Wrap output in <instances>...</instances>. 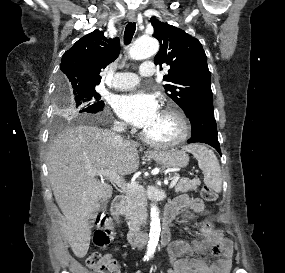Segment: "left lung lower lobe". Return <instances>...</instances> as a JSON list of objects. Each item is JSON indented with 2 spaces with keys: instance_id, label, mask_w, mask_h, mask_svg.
Returning a JSON list of instances; mask_svg holds the SVG:
<instances>
[{
  "instance_id": "1",
  "label": "left lung lower lobe",
  "mask_w": 285,
  "mask_h": 273,
  "mask_svg": "<svg viewBox=\"0 0 285 273\" xmlns=\"http://www.w3.org/2000/svg\"><path fill=\"white\" fill-rule=\"evenodd\" d=\"M187 116L192 125V136L188 143H206L221 154L213 107L194 109Z\"/></svg>"
}]
</instances>
